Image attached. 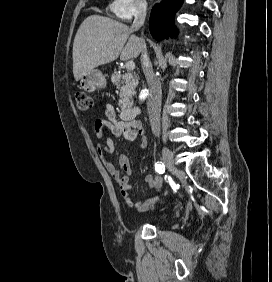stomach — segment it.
<instances>
[{
  "instance_id": "1",
  "label": "stomach",
  "mask_w": 272,
  "mask_h": 282,
  "mask_svg": "<svg viewBox=\"0 0 272 282\" xmlns=\"http://www.w3.org/2000/svg\"><path fill=\"white\" fill-rule=\"evenodd\" d=\"M80 86L88 92H93L98 88L106 86V79L98 69H92L81 77Z\"/></svg>"
}]
</instances>
